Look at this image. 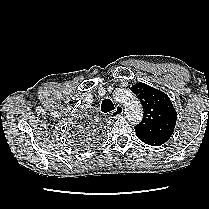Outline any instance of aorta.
Wrapping results in <instances>:
<instances>
[{
	"mask_svg": "<svg viewBox=\"0 0 209 209\" xmlns=\"http://www.w3.org/2000/svg\"><path fill=\"white\" fill-rule=\"evenodd\" d=\"M114 99L125 108V114L128 121L138 123L142 120V106L137 97L129 90L119 89L114 93Z\"/></svg>",
	"mask_w": 209,
	"mask_h": 209,
	"instance_id": "1",
	"label": "aorta"
}]
</instances>
